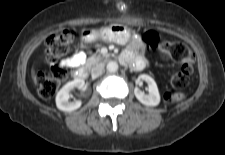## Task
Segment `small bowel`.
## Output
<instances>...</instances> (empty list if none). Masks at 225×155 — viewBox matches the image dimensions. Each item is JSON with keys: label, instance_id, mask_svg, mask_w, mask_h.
<instances>
[{"label": "small bowel", "instance_id": "small-bowel-1", "mask_svg": "<svg viewBox=\"0 0 225 155\" xmlns=\"http://www.w3.org/2000/svg\"><path fill=\"white\" fill-rule=\"evenodd\" d=\"M145 46L146 43L143 39L134 37L121 55V60L131 64L137 70L143 69L146 66V61L141 56V52L144 50ZM85 58L86 54L84 52H78L66 59V64L71 67H76L83 63Z\"/></svg>", "mask_w": 225, "mask_h": 155}]
</instances>
